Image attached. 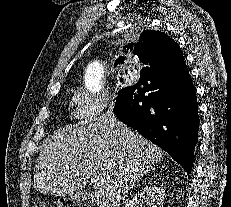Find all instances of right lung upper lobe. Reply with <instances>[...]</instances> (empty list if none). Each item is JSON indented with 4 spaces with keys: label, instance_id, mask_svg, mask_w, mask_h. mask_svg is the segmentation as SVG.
Instances as JSON below:
<instances>
[{
    "label": "right lung upper lobe",
    "instance_id": "1",
    "mask_svg": "<svg viewBox=\"0 0 231 207\" xmlns=\"http://www.w3.org/2000/svg\"><path fill=\"white\" fill-rule=\"evenodd\" d=\"M125 53L133 52L147 66H160L162 70H175L185 66L180 46L167 34L149 30L140 36L138 43H129L123 47ZM120 56L116 62L124 61Z\"/></svg>",
    "mask_w": 231,
    "mask_h": 207
}]
</instances>
